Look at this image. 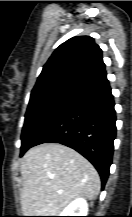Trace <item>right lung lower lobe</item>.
I'll use <instances>...</instances> for the list:
<instances>
[{"label": "right lung lower lobe", "mask_w": 132, "mask_h": 217, "mask_svg": "<svg viewBox=\"0 0 132 217\" xmlns=\"http://www.w3.org/2000/svg\"><path fill=\"white\" fill-rule=\"evenodd\" d=\"M114 99L109 83L78 95L32 145L55 142L78 151L97 169L104 187L116 136Z\"/></svg>", "instance_id": "1"}]
</instances>
